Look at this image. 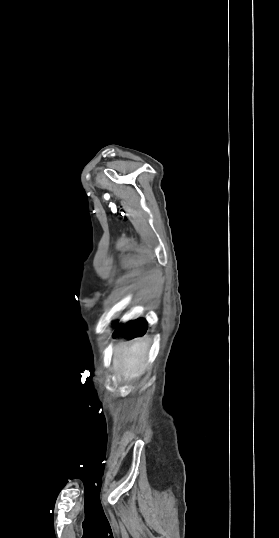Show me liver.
I'll return each mask as SVG.
<instances>
[{
  "label": "liver",
  "instance_id": "1",
  "mask_svg": "<svg viewBox=\"0 0 279 538\" xmlns=\"http://www.w3.org/2000/svg\"><path fill=\"white\" fill-rule=\"evenodd\" d=\"M147 354L148 342L143 338H137L132 346L119 344L114 352L113 372H121L127 382L136 380L146 370Z\"/></svg>",
  "mask_w": 279,
  "mask_h": 538
}]
</instances>
